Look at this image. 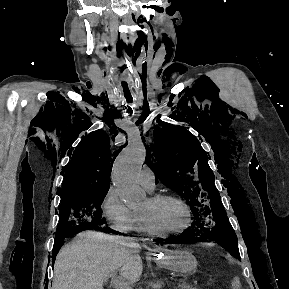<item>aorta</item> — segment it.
I'll return each mask as SVG.
<instances>
[{"mask_svg":"<svg viewBox=\"0 0 289 289\" xmlns=\"http://www.w3.org/2000/svg\"><path fill=\"white\" fill-rule=\"evenodd\" d=\"M146 151L140 139H134L116 158L112 170V182L124 203L135 208L146 200V193L137 182V176L145 162Z\"/></svg>","mask_w":289,"mask_h":289,"instance_id":"obj_1","label":"aorta"}]
</instances>
